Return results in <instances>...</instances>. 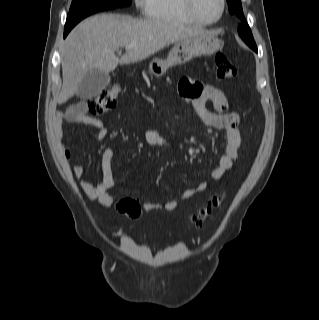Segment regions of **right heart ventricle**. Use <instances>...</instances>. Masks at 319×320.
Listing matches in <instances>:
<instances>
[{"instance_id":"e07e8e85","label":"right heart ventricle","mask_w":319,"mask_h":320,"mask_svg":"<svg viewBox=\"0 0 319 320\" xmlns=\"http://www.w3.org/2000/svg\"><path fill=\"white\" fill-rule=\"evenodd\" d=\"M146 14L159 22L179 25L196 24L188 16L183 0H148Z\"/></svg>"}]
</instances>
